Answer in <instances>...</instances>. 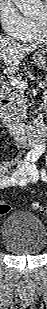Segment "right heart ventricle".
Masks as SVG:
<instances>
[{"instance_id":"1","label":"right heart ventricle","mask_w":47,"mask_h":309,"mask_svg":"<svg viewBox=\"0 0 47 309\" xmlns=\"http://www.w3.org/2000/svg\"><path fill=\"white\" fill-rule=\"evenodd\" d=\"M44 37L40 34L33 20H28V32L23 41L28 43H40Z\"/></svg>"}]
</instances>
